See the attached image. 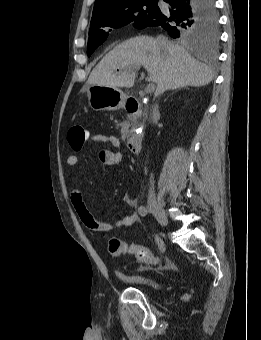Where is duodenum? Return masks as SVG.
Wrapping results in <instances>:
<instances>
[{"mask_svg":"<svg viewBox=\"0 0 261 340\" xmlns=\"http://www.w3.org/2000/svg\"><path fill=\"white\" fill-rule=\"evenodd\" d=\"M126 109L133 115H142L144 113V107L138 100H129L126 104ZM142 128V125L139 124ZM143 141L142 133H135L127 139V147L133 154H138L141 150Z\"/></svg>","mask_w":261,"mask_h":340,"instance_id":"obj_1","label":"duodenum"}]
</instances>
